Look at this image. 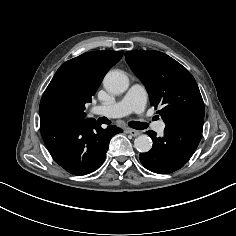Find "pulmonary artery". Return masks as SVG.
Listing matches in <instances>:
<instances>
[{"label": "pulmonary artery", "mask_w": 236, "mask_h": 236, "mask_svg": "<svg viewBox=\"0 0 236 236\" xmlns=\"http://www.w3.org/2000/svg\"><path fill=\"white\" fill-rule=\"evenodd\" d=\"M146 91L139 83H134L124 97L110 104H99L92 107L91 112L98 114L102 110H109L116 116H125L132 112L142 113L146 104ZM165 128L164 122L160 121L156 125V131L161 133Z\"/></svg>", "instance_id": "1"}]
</instances>
